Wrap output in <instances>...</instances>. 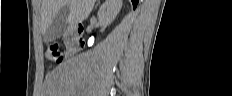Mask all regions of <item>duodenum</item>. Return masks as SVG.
<instances>
[{"mask_svg":"<svg viewBox=\"0 0 232 96\" xmlns=\"http://www.w3.org/2000/svg\"><path fill=\"white\" fill-rule=\"evenodd\" d=\"M64 35L68 41L67 57H73L83 48V27L75 25L66 28Z\"/></svg>","mask_w":232,"mask_h":96,"instance_id":"410a0bca","label":"duodenum"}]
</instances>
